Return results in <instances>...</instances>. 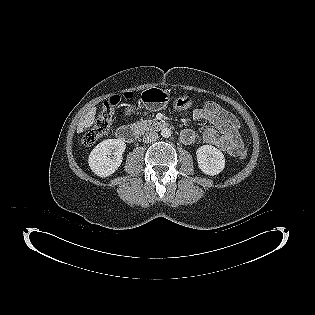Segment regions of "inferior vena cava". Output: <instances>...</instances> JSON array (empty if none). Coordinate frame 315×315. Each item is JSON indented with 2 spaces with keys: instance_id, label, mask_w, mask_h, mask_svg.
I'll list each match as a JSON object with an SVG mask.
<instances>
[{
  "instance_id": "obj_1",
  "label": "inferior vena cava",
  "mask_w": 315,
  "mask_h": 315,
  "mask_svg": "<svg viewBox=\"0 0 315 315\" xmlns=\"http://www.w3.org/2000/svg\"><path fill=\"white\" fill-rule=\"evenodd\" d=\"M159 138L158 133L156 132H149L146 133L143 137V142L145 143H151L155 142Z\"/></svg>"
}]
</instances>
